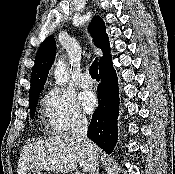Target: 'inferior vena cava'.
Here are the masks:
<instances>
[{"mask_svg": "<svg viewBox=\"0 0 175 174\" xmlns=\"http://www.w3.org/2000/svg\"><path fill=\"white\" fill-rule=\"evenodd\" d=\"M88 121L86 118H78L72 129L73 138L85 146L90 156L89 174H99V162L97 157V147L87 137Z\"/></svg>", "mask_w": 175, "mask_h": 174, "instance_id": "1", "label": "inferior vena cava"}]
</instances>
